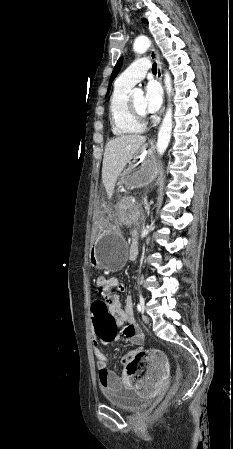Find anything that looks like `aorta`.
Masks as SVG:
<instances>
[{
	"mask_svg": "<svg viewBox=\"0 0 233 449\" xmlns=\"http://www.w3.org/2000/svg\"><path fill=\"white\" fill-rule=\"evenodd\" d=\"M150 46L151 41L149 40V38L141 36L135 40L133 49L136 53L142 54L145 53L150 48ZM164 82L167 93L170 96L172 87H171V77L168 72H166L164 75ZM133 91L135 95L143 94V91L138 88H135ZM172 125H173L172 108L171 105H169L158 132L157 151L160 155H162L168 147L171 138Z\"/></svg>",
	"mask_w": 233,
	"mask_h": 449,
	"instance_id": "aorta-1",
	"label": "aorta"
}]
</instances>
